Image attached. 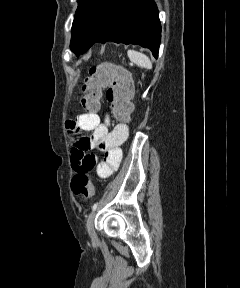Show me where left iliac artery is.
Segmentation results:
<instances>
[{
  "label": "left iliac artery",
  "instance_id": "44dca946",
  "mask_svg": "<svg viewBox=\"0 0 240 288\" xmlns=\"http://www.w3.org/2000/svg\"><path fill=\"white\" fill-rule=\"evenodd\" d=\"M97 206H98V203H97V202L94 203L93 206H92V210H93V211L96 210Z\"/></svg>",
  "mask_w": 240,
  "mask_h": 288
}]
</instances>
